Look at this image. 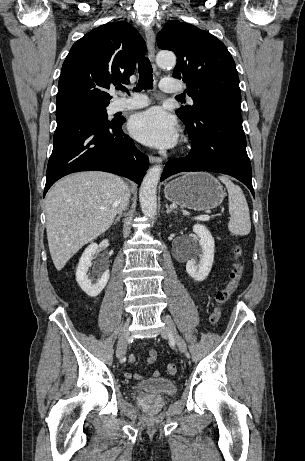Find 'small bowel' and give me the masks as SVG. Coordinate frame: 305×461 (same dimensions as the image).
Here are the masks:
<instances>
[{
    "instance_id": "c3829d8e",
    "label": "small bowel",
    "mask_w": 305,
    "mask_h": 461,
    "mask_svg": "<svg viewBox=\"0 0 305 461\" xmlns=\"http://www.w3.org/2000/svg\"><path fill=\"white\" fill-rule=\"evenodd\" d=\"M156 357H157V354H156V351L153 350V349H150L148 350V358H147V363L148 364H153L155 361H156ZM136 360V357L134 354H130L129 357H128V361L130 363H133L135 362ZM160 375V371L158 369H155L153 371V376L154 377H158ZM124 376L127 378V379H131V378H134V379H143L144 378V375L142 373H135V374H132L130 372H126L124 374Z\"/></svg>"
}]
</instances>
